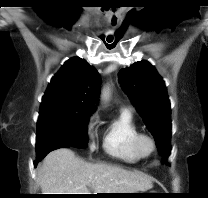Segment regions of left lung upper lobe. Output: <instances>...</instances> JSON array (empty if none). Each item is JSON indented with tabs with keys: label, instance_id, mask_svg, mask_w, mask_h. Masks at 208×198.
I'll use <instances>...</instances> for the list:
<instances>
[{
	"label": "left lung upper lobe",
	"instance_id": "left-lung-upper-lobe-1",
	"mask_svg": "<svg viewBox=\"0 0 208 198\" xmlns=\"http://www.w3.org/2000/svg\"><path fill=\"white\" fill-rule=\"evenodd\" d=\"M124 92L153 135L162 163L171 152V108L165 83L148 61H139L119 72Z\"/></svg>",
	"mask_w": 208,
	"mask_h": 198
}]
</instances>
